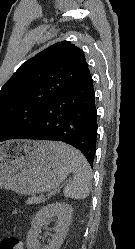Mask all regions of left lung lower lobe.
Wrapping results in <instances>:
<instances>
[{
  "instance_id": "obj_1",
  "label": "left lung lower lobe",
  "mask_w": 135,
  "mask_h": 249,
  "mask_svg": "<svg viewBox=\"0 0 135 249\" xmlns=\"http://www.w3.org/2000/svg\"><path fill=\"white\" fill-rule=\"evenodd\" d=\"M97 128L95 91L92 76L89 74L49 104L42 112L36 127L19 139L66 142L79 149L92 166Z\"/></svg>"
}]
</instances>
